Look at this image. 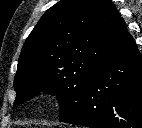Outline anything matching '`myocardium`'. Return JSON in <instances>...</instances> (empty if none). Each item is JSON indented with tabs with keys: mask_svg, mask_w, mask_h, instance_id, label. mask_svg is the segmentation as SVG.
Returning a JSON list of instances; mask_svg holds the SVG:
<instances>
[{
	"mask_svg": "<svg viewBox=\"0 0 142 128\" xmlns=\"http://www.w3.org/2000/svg\"><path fill=\"white\" fill-rule=\"evenodd\" d=\"M43 102L46 105H54L57 102V94L53 91L47 92L43 96Z\"/></svg>",
	"mask_w": 142,
	"mask_h": 128,
	"instance_id": "f54148a6",
	"label": "myocardium"
}]
</instances>
